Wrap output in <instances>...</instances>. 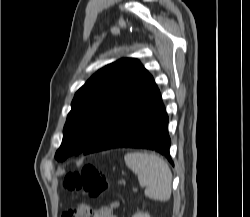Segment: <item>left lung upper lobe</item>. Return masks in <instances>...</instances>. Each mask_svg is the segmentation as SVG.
Masks as SVG:
<instances>
[{"label": "left lung upper lobe", "mask_w": 250, "mask_h": 217, "mask_svg": "<svg viewBox=\"0 0 250 217\" xmlns=\"http://www.w3.org/2000/svg\"><path fill=\"white\" fill-rule=\"evenodd\" d=\"M148 75L134 58H122L96 72L74 96L55 158L62 161L83 153Z\"/></svg>", "instance_id": "left-lung-upper-lobe-1"}]
</instances>
